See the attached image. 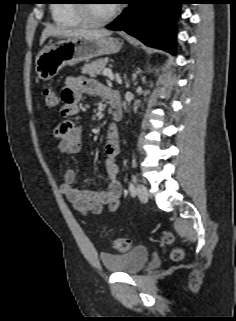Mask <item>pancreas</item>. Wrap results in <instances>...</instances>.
Segmentation results:
<instances>
[{
  "instance_id": "obj_1",
  "label": "pancreas",
  "mask_w": 236,
  "mask_h": 321,
  "mask_svg": "<svg viewBox=\"0 0 236 321\" xmlns=\"http://www.w3.org/2000/svg\"><path fill=\"white\" fill-rule=\"evenodd\" d=\"M107 63L108 59H98L84 65V67L82 68V73L87 74L90 77H96L103 72Z\"/></svg>"
}]
</instances>
